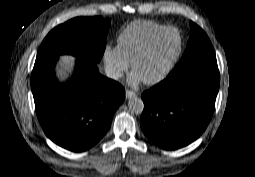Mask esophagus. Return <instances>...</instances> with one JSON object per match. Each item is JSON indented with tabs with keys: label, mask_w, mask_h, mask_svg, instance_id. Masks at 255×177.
<instances>
[{
	"label": "esophagus",
	"mask_w": 255,
	"mask_h": 177,
	"mask_svg": "<svg viewBox=\"0 0 255 177\" xmlns=\"http://www.w3.org/2000/svg\"><path fill=\"white\" fill-rule=\"evenodd\" d=\"M137 94L131 90H126V99H131L133 97H136Z\"/></svg>",
	"instance_id": "esophagus-1"
}]
</instances>
